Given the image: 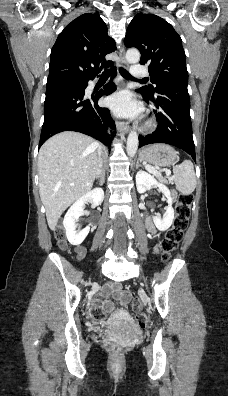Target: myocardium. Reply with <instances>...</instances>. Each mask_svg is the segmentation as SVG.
<instances>
[{
	"mask_svg": "<svg viewBox=\"0 0 228 396\" xmlns=\"http://www.w3.org/2000/svg\"><path fill=\"white\" fill-rule=\"evenodd\" d=\"M155 126V122L152 119H148L143 126V129L149 130Z\"/></svg>",
	"mask_w": 228,
	"mask_h": 396,
	"instance_id": "1",
	"label": "myocardium"
}]
</instances>
